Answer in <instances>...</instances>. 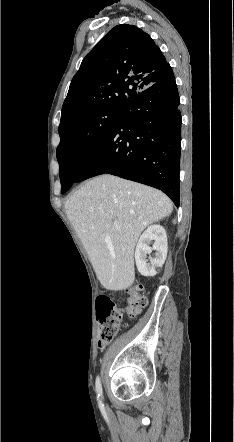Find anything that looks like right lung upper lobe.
<instances>
[{"mask_svg":"<svg viewBox=\"0 0 234 442\" xmlns=\"http://www.w3.org/2000/svg\"><path fill=\"white\" fill-rule=\"evenodd\" d=\"M169 66L151 37L134 25L110 30L83 59L64 101L61 134L92 112L121 107L154 84Z\"/></svg>","mask_w":234,"mask_h":442,"instance_id":"right-lung-upper-lobe-1","label":"right lung upper lobe"}]
</instances>
